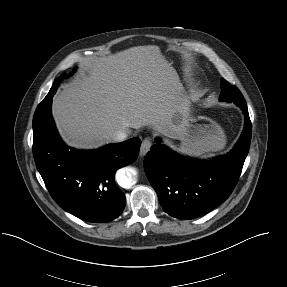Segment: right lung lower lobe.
I'll return each instance as SVG.
<instances>
[{"mask_svg":"<svg viewBox=\"0 0 287 287\" xmlns=\"http://www.w3.org/2000/svg\"><path fill=\"white\" fill-rule=\"evenodd\" d=\"M54 93L47 94L33 118L37 169L50 195L65 211L88 222L112 221L126 204L125 194L116 185L115 172L137 159L141 141L132 138L93 151L67 147L51 116Z\"/></svg>","mask_w":287,"mask_h":287,"instance_id":"1","label":"right lung lower lobe"}]
</instances>
